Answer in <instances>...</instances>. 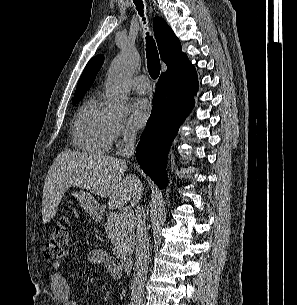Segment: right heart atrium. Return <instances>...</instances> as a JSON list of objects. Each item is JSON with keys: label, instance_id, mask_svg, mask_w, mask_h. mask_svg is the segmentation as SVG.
Masks as SVG:
<instances>
[{"label": "right heart atrium", "instance_id": "d8ad5b80", "mask_svg": "<svg viewBox=\"0 0 297 305\" xmlns=\"http://www.w3.org/2000/svg\"><path fill=\"white\" fill-rule=\"evenodd\" d=\"M113 140L119 146H125L135 138V131L124 120L112 118L111 123Z\"/></svg>", "mask_w": 297, "mask_h": 305}]
</instances>
